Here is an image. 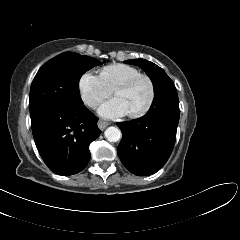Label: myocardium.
<instances>
[{
  "label": "myocardium",
  "mask_w": 240,
  "mask_h": 240,
  "mask_svg": "<svg viewBox=\"0 0 240 240\" xmlns=\"http://www.w3.org/2000/svg\"><path fill=\"white\" fill-rule=\"evenodd\" d=\"M141 80H145L149 84L150 96H149V99H148L146 105L142 109L130 113V115L132 117H142V116L146 115L150 111V109H151V107H152V105L154 103L155 94H156L155 85H154L153 80L148 75L141 74L139 76H136L134 78H131V79H129V80L119 84L114 89V92L117 93V91H119V90L129 89V88L133 87L135 84H137Z\"/></svg>",
  "instance_id": "obj_1"
}]
</instances>
